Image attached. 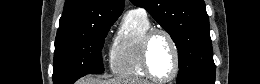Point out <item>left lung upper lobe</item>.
I'll return each instance as SVG.
<instances>
[{
	"label": "left lung upper lobe",
	"instance_id": "5c2ea615",
	"mask_svg": "<svg viewBox=\"0 0 260 84\" xmlns=\"http://www.w3.org/2000/svg\"><path fill=\"white\" fill-rule=\"evenodd\" d=\"M170 34L179 55L177 84L215 83L209 19L203 0H130Z\"/></svg>",
	"mask_w": 260,
	"mask_h": 84
}]
</instances>
